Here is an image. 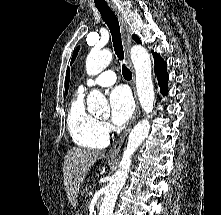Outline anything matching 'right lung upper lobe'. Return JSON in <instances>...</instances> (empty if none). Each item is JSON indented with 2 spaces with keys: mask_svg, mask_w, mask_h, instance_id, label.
<instances>
[{
  "mask_svg": "<svg viewBox=\"0 0 221 215\" xmlns=\"http://www.w3.org/2000/svg\"><path fill=\"white\" fill-rule=\"evenodd\" d=\"M69 79H70V70L68 68L67 72H66V79H65V92L67 94L68 92V87H69Z\"/></svg>",
  "mask_w": 221,
  "mask_h": 215,
  "instance_id": "cb5924a9",
  "label": "right lung upper lobe"
}]
</instances>
